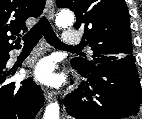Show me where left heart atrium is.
<instances>
[{
    "mask_svg": "<svg viewBox=\"0 0 142 119\" xmlns=\"http://www.w3.org/2000/svg\"><path fill=\"white\" fill-rule=\"evenodd\" d=\"M35 77L44 84H57L59 77L53 73V66L51 61H41L35 69Z\"/></svg>",
    "mask_w": 142,
    "mask_h": 119,
    "instance_id": "obj_1",
    "label": "left heart atrium"
}]
</instances>
